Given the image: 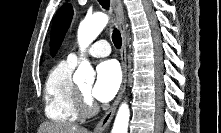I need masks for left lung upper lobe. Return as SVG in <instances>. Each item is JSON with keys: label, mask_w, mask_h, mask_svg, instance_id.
Returning <instances> with one entry per match:
<instances>
[{"label": "left lung upper lobe", "mask_w": 221, "mask_h": 133, "mask_svg": "<svg viewBox=\"0 0 221 133\" xmlns=\"http://www.w3.org/2000/svg\"><path fill=\"white\" fill-rule=\"evenodd\" d=\"M73 16V8L71 4H64L56 13L52 25L51 39H50V52L54 56L65 36L66 31L71 23Z\"/></svg>", "instance_id": "obj_1"}]
</instances>
